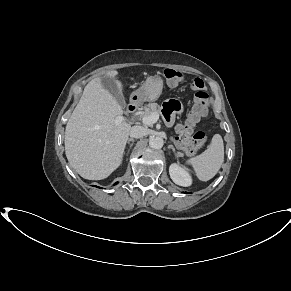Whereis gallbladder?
I'll use <instances>...</instances> for the list:
<instances>
[{
  "label": "gallbladder",
  "mask_w": 291,
  "mask_h": 291,
  "mask_svg": "<svg viewBox=\"0 0 291 291\" xmlns=\"http://www.w3.org/2000/svg\"><path fill=\"white\" fill-rule=\"evenodd\" d=\"M102 86L116 99L118 104L121 107H125V100L123 95L120 93L119 88L117 86L116 79L103 76L101 79Z\"/></svg>",
  "instance_id": "1"
}]
</instances>
